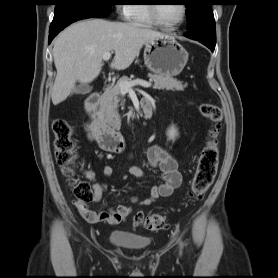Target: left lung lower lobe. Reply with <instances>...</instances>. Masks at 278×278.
I'll use <instances>...</instances> for the list:
<instances>
[{"label":"left lung lower lobe","instance_id":"1","mask_svg":"<svg viewBox=\"0 0 278 278\" xmlns=\"http://www.w3.org/2000/svg\"><path fill=\"white\" fill-rule=\"evenodd\" d=\"M185 36L190 39H194V40L201 42L202 44L207 46L211 51H214V49H215L216 42H213V41H210V40L204 38L202 35H200L197 32H189V33L185 34Z\"/></svg>","mask_w":278,"mask_h":278}]
</instances>
